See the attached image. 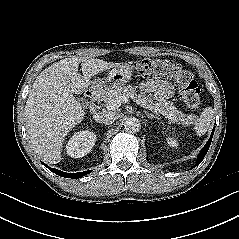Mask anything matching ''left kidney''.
Masks as SVG:
<instances>
[{"label":"left kidney","instance_id":"obj_1","mask_svg":"<svg viewBox=\"0 0 239 239\" xmlns=\"http://www.w3.org/2000/svg\"><path fill=\"white\" fill-rule=\"evenodd\" d=\"M166 140H167V143L170 146H172V147H177L178 146V142L175 139H173L171 137H168Z\"/></svg>","mask_w":239,"mask_h":239}]
</instances>
